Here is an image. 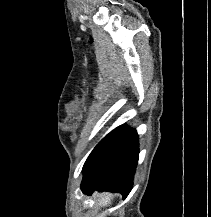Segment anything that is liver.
Returning a JSON list of instances; mask_svg holds the SVG:
<instances>
[{
    "instance_id": "1",
    "label": "liver",
    "mask_w": 211,
    "mask_h": 217,
    "mask_svg": "<svg viewBox=\"0 0 211 217\" xmlns=\"http://www.w3.org/2000/svg\"><path fill=\"white\" fill-rule=\"evenodd\" d=\"M113 198L112 194L104 193L100 199V206H107L111 203V199Z\"/></svg>"
}]
</instances>
